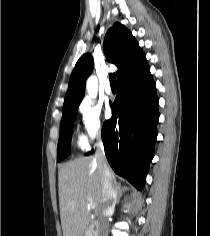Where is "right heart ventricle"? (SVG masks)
<instances>
[{
    "instance_id": "1",
    "label": "right heart ventricle",
    "mask_w": 210,
    "mask_h": 236,
    "mask_svg": "<svg viewBox=\"0 0 210 236\" xmlns=\"http://www.w3.org/2000/svg\"><path fill=\"white\" fill-rule=\"evenodd\" d=\"M76 145L78 146V148H80L82 150L87 149V147H88L87 142L82 137L77 138Z\"/></svg>"
}]
</instances>
